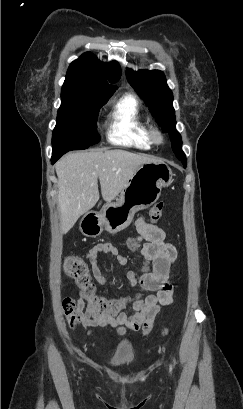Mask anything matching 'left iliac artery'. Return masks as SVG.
Listing matches in <instances>:
<instances>
[{"label": "left iliac artery", "mask_w": 243, "mask_h": 409, "mask_svg": "<svg viewBox=\"0 0 243 409\" xmlns=\"http://www.w3.org/2000/svg\"><path fill=\"white\" fill-rule=\"evenodd\" d=\"M172 371V365H170V372Z\"/></svg>", "instance_id": "1"}]
</instances>
